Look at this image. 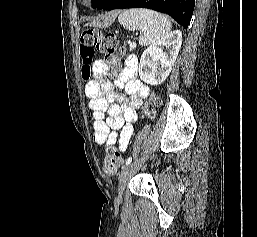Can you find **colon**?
<instances>
[{
  "mask_svg": "<svg viewBox=\"0 0 257 237\" xmlns=\"http://www.w3.org/2000/svg\"><path fill=\"white\" fill-rule=\"evenodd\" d=\"M124 48L119 45L118 37L113 33H103L98 29H87L81 36L79 52L83 62V75L89 76L90 64L94 56L102 54L106 62L113 69L120 66L121 59L124 55ZM160 105V99L157 95H152L149 101L143 106V113L147 117H152L155 107ZM123 158L120 152L111 148L108 150L104 160L103 169L111 176L117 175L121 168Z\"/></svg>",
  "mask_w": 257,
  "mask_h": 237,
  "instance_id": "colon-1",
  "label": "colon"
}]
</instances>
